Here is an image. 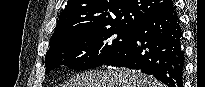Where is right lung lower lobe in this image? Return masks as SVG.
Instances as JSON below:
<instances>
[{"instance_id": "1", "label": "right lung lower lobe", "mask_w": 205, "mask_h": 87, "mask_svg": "<svg viewBox=\"0 0 205 87\" xmlns=\"http://www.w3.org/2000/svg\"><path fill=\"white\" fill-rule=\"evenodd\" d=\"M103 65L137 69L168 87H182L185 56L175 6L141 22L125 46Z\"/></svg>"}]
</instances>
